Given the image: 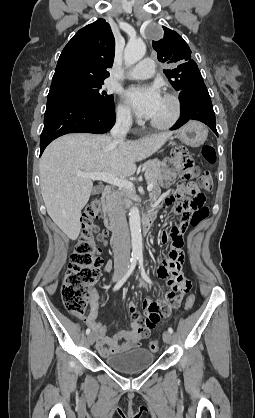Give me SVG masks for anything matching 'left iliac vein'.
I'll use <instances>...</instances> for the list:
<instances>
[{
  "instance_id": "4c4485c4",
  "label": "left iliac vein",
  "mask_w": 255,
  "mask_h": 418,
  "mask_svg": "<svg viewBox=\"0 0 255 418\" xmlns=\"http://www.w3.org/2000/svg\"><path fill=\"white\" fill-rule=\"evenodd\" d=\"M140 285L141 286H145V284H144V282L143 281H141L140 280ZM171 340H172V335H171V333L169 332V331H165L164 333H163V341L165 342V343H167V344H169V343H171Z\"/></svg>"
}]
</instances>
